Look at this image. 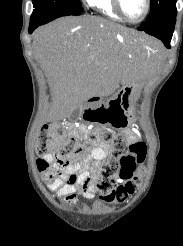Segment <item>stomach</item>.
I'll return each instance as SVG.
<instances>
[{
  "label": "stomach",
  "mask_w": 183,
  "mask_h": 246,
  "mask_svg": "<svg viewBox=\"0 0 183 246\" xmlns=\"http://www.w3.org/2000/svg\"><path fill=\"white\" fill-rule=\"evenodd\" d=\"M137 43H141V41H137ZM135 87V83L127 84L107 100L105 106L99 110L102 118L101 123H107L114 128H124L130 125V100Z\"/></svg>",
  "instance_id": "1"
}]
</instances>
